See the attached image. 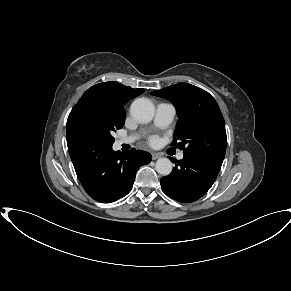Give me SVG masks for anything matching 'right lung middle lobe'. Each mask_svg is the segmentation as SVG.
Masks as SVG:
<instances>
[{
	"mask_svg": "<svg viewBox=\"0 0 291 291\" xmlns=\"http://www.w3.org/2000/svg\"><path fill=\"white\" fill-rule=\"evenodd\" d=\"M125 112L113 110L107 105L84 101L77 103L67 119L66 137H84L112 146V133L121 129Z\"/></svg>",
	"mask_w": 291,
	"mask_h": 291,
	"instance_id": "dd1d6c3e",
	"label": "right lung middle lobe"
}]
</instances>
